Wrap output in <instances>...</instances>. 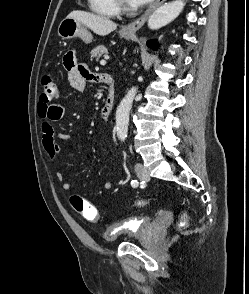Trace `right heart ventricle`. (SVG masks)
Instances as JSON below:
<instances>
[{"instance_id": "right-heart-ventricle-1", "label": "right heart ventricle", "mask_w": 249, "mask_h": 294, "mask_svg": "<svg viewBox=\"0 0 249 294\" xmlns=\"http://www.w3.org/2000/svg\"><path fill=\"white\" fill-rule=\"evenodd\" d=\"M90 9L102 16L114 17L120 13L115 0H88Z\"/></svg>"}]
</instances>
